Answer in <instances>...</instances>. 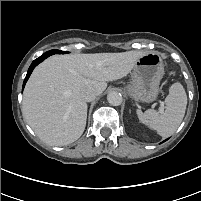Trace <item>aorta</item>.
<instances>
[{"label": "aorta", "instance_id": "obj_1", "mask_svg": "<svg viewBox=\"0 0 201 201\" xmlns=\"http://www.w3.org/2000/svg\"><path fill=\"white\" fill-rule=\"evenodd\" d=\"M107 101L112 106H119L122 103V95L116 91H111L107 95Z\"/></svg>", "mask_w": 201, "mask_h": 201}]
</instances>
